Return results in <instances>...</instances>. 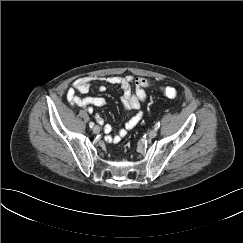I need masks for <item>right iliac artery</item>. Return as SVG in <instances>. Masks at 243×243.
Returning a JSON list of instances; mask_svg holds the SVG:
<instances>
[{
  "label": "right iliac artery",
  "mask_w": 243,
  "mask_h": 243,
  "mask_svg": "<svg viewBox=\"0 0 243 243\" xmlns=\"http://www.w3.org/2000/svg\"><path fill=\"white\" fill-rule=\"evenodd\" d=\"M89 126H90V128H93L94 127V123L93 122H90L89 123Z\"/></svg>",
  "instance_id": "1"
}]
</instances>
